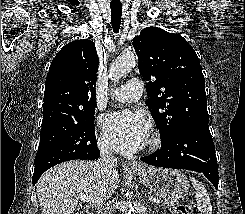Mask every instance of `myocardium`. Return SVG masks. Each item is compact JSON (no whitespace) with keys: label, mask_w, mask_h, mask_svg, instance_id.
<instances>
[{"label":"myocardium","mask_w":245,"mask_h":214,"mask_svg":"<svg viewBox=\"0 0 245 214\" xmlns=\"http://www.w3.org/2000/svg\"><path fill=\"white\" fill-rule=\"evenodd\" d=\"M159 144V138L157 136H152L146 144V150H154L159 146Z\"/></svg>","instance_id":"1"}]
</instances>
